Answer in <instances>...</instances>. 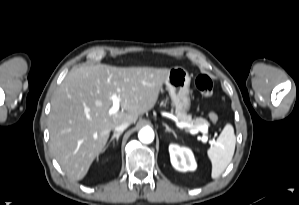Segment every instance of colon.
I'll list each match as a JSON object with an SVG mask.
<instances>
[{
  "instance_id": "colon-1",
  "label": "colon",
  "mask_w": 299,
  "mask_h": 205,
  "mask_svg": "<svg viewBox=\"0 0 299 205\" xmlns=\"http://www.w3.org/2000/svg\"><path fill=\"white\" fill-rule=\"evenodd\" d=\"M195 86L204 97H209L213 93V82L211 78L205 74L196 77ZM209 117L213 123L218 121V116L214 112H211Z\"/></svg>"
}]
</instances>
